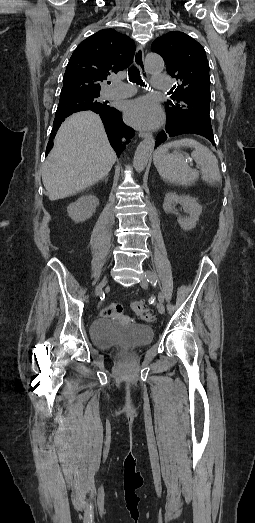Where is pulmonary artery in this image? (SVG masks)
<instances>
[{
    "mask_svg": "<svg viewBox=\"0 0 255 523\" xmlns=\"http://www.w3.org/2000/svg\"><path fill=\"white\" fill-rule=\"evenodd\" d=\"M154 89L156 91H171L174 88L173 81L166 73H158L153 78ZM136 87L133 84L123 83L116 78H112L111 87L106 90L107 99L124 98L135 93Z\"/></svg>",
    "mask_w": 255,
    "mask_h": 523,
    "instance_id": "obj_1",
    "label": "pulmonary artery"
}]
</instances>
